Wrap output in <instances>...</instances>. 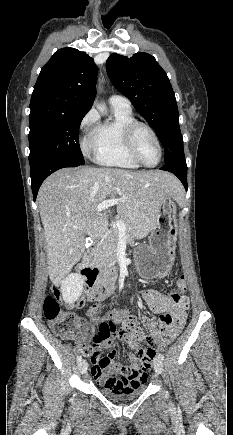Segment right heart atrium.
I'll return each mask as SVG.
<instances>
[{"mask_svg": "<svg viewBox=\"0 0 233 435\" xmlns=\"http://www.w3.org/2000/svg\"><path fill=\"white\" fill-rule=\"evenodd\" d=\"M98 124V115L94 109L89 110L81 120L80 128L82 130L88 129ZM81 148L83 153L88 156L93 150H95V144L91 136L85 138L81 142Z\"/></svg>", "mask_w": 233, "mask_h": 435, "instance_id": "1", "label": "right heart atrium"}]
</instances>
